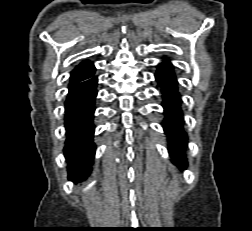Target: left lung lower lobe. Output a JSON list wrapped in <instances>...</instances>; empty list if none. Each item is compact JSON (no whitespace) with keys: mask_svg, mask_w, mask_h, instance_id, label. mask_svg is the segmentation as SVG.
<instances>
[{"mask_svg":"<svg viewBox=\"0 0 252 231\" xmlns=\"http://www.w3.org/2000/svg\"><path fill=\"white\" fill-rule=\"evenodd\" d=\"M155 76L163 93V108L165 111L163 125L170 142V156L176 165L180 166L181 169H185L187 161L184 152L187 146V136L182 129L181 99L178 92L176 76L170 61L160 63Z\"/></svg>","mask_w":252,"mask_h":231,"instance_id":"left-lung-lower-lobe-1","label":"left lung lower lobe"}]
</instances>
